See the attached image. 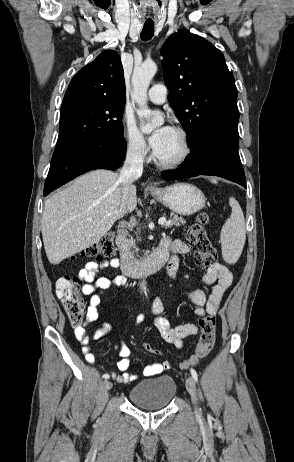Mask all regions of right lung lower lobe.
<instances>
[{"instance_id": "right-lung-lower-lobe-1", "label": "right lung lower lobe", "mask_w": 294, "mask_h": 462, "mask_svg": "<svg viewBox=\"0 0 294 462\" xmlns=\"http://www.w3.org/2000/svg\"><path fill=\"white\" fill-rule=\"evenodd\" d=\"M126 154L123 136L82 138L56 145L44 195L92 169L118 168Z\"/></svg>"}]
</instances>
